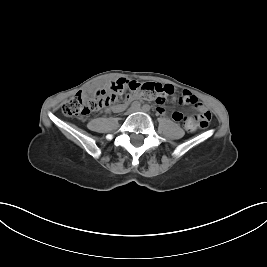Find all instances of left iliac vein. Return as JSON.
Returning a JSON list of instances; mask_svg holds the SVG:
<instances>
[{
    "mask_svg": "<svg viewBox=\"0 0 267 267\" xmlns=\"http://www.w3.org/2000/svg\"><path fill=\"white\" fill-rule=\"evenodd\" d=\"M139 110L142 111V112H147V111H146L145 109H143V108H142V109H139Z\"/></svg>",
    "mask_w": 267,
    "mask_h": 267,
    "instance_id": "1",
    "label": "left iliac vein"
}]
</instances>
